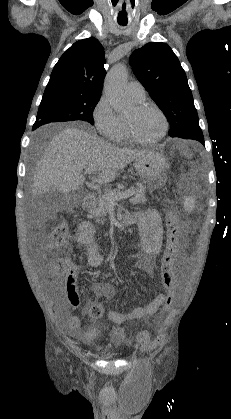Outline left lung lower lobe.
I'll return each instance as SVG.
<instances>
[{"instance_id":"1","label":"left lung lower lobe","mask_w":231,"mask_h":419,"mask_svg":"<svg viewBox=\"0 0 231 419\" xmlns=\"http://www.w3.org/2000/svg\"><path fill=\"white\" fill-rule=\"evenodd\" d=\"M180 138H184V139H193V140H197L200 143H202L204 145V138H203V133L201 132H193V133H189L183 136H179Z\"/></svg>"}]
</instances>
